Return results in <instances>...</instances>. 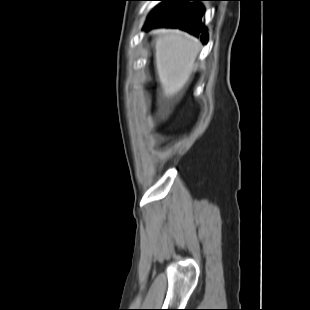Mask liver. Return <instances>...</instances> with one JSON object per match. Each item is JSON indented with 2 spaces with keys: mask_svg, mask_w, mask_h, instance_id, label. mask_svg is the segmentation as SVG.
<instances>
[{
  "mask_svg": "<svg viewBox=\"0 0 310 310\" xmlns=\"http://www.w3.org/2000/svg\"><path fill=\"white\" fill-rule=\"evenodd\" d=\"M199 41L178 29H161L155 39V65L166 103L178 98L195 70ZM164 116V113H163Z\"/></svg>",
  "mask_w": 310,
  "mask_h": 310,
  "instance_id": "obj_1",
  "label": "liver"
}]
</instances>
